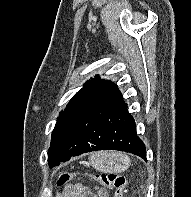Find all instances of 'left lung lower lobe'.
<instances>
[{
  "label": "left lung lower lobe",
  "mask_w": 191,
  "mask_h": 197,
  "mask_svg": "<svg viewBox=\"0 0 191 197\" xmlns=\"http://www.w3.org/2000/svg\"><path fill=\"white\" fill-rule=\"evenodd\" d=\"M70 156L98 150H120L146 160L145 145L136 134L135 121L117 86L79 105L66 126Z\"/></svg>",
  "instance_id": "0a47b994"
}]
</instances>
